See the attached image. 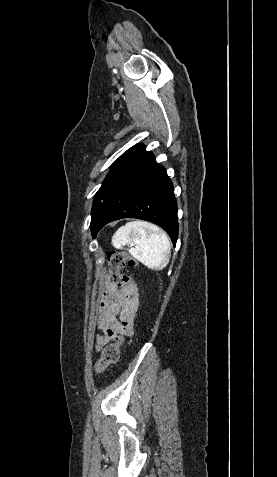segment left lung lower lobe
I'll return each mask as SVG.
<instances>
[{"label": "left lung lower lobe", "instance_id": "1", "mask_svg": "<svg viewBox=\"0 0 277 477\" xmlns=\"http://www.w3.org/2000/svg\"><path fill=\"white\" fill-rule=\"evenodd\" d=\"M137 218L162 227L175 246L178 238L177 202L166 170L142 146L107 179L91 219L95 238L107 223Z\"/></svg>", "mask_w": 277, "mask_h": 477}]
</instances>
